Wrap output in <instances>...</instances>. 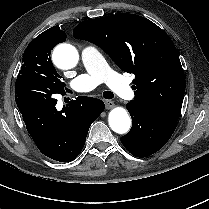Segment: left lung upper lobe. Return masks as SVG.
Segmentation results:
<instances>
[{
	"label": "left lung upper lobe",
	"instance_id": "5c2ea615",
	"mask_svg": "<svg viewBox=\"0 0 209 209\" xmlns=\"http://www.w3.org/2000/svg\"><path fill=\"white\" fill-rule=\"evenodd\" d=\"M73 36L96 44L121 70L135 74L130 103L178 120L185 75L174 43L160 27L144 17L119 13L85 20Z\"/></svg>",
	"mask_w": 209,
	"mask_h": 209
}]
</instances>
